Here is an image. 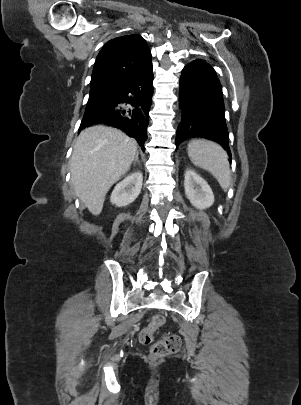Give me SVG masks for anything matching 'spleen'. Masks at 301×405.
<instances>
[{
    "label": "spleen",
    "mask_w": 301,
    "mask_h": 405,
    "mask_svg": "<svg viewBox=\"0 0 301 405\" xmlns=\"http://www.w3.org/2000/svg\"><path fill=\"white\" fill-rule=\"evenodd\" d=\"M188 156L194 165L209 171L224 190L229 188V162L226 152L218 144L192 140L188 144Z\"/></svg>",
    "instance_id": "3e777b00"
}]
</instances>
